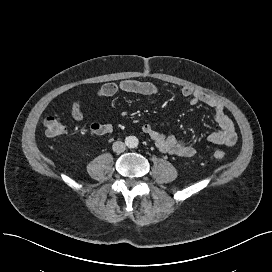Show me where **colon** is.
<instances>
[{
  "instance_id": "5ec220e1",
  "label": "colon",
  "mask_w": 272,
  "mask_h": 272,
  "mask_svg": "<svg viewBox=\"0 0 272 272\" xmlns=\"http://www.w3.org/2000/svg\"><path fill=\"white\" fill-rule=\"evenodd\" d=\"M45 132L49 137H58L65 133V125L55 116H48L44 120ZM213 157L217 160L225 158V152L222 150H214L212 153Z\"/></svg>"
}]
</instances>
